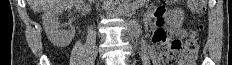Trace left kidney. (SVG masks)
<instances>
[{
	"instance_id": "5707ae66",
	"label": "left kidney",
	"mask_w": 232,
	"mask_h": 65,
	"mask_svg": "<svg viewBox=\"0 0 232 65\" xmlns=\"http://www.w3.org/2000/svg\"><path fill=\"white\" fill-rule=\"evenodd\" d=\"M169 15L173 27L179 28L182 26L184 21V11L181 8L172 10Z\"/></svg>"
}]
</instances>
